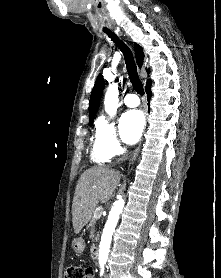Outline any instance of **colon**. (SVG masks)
<instances>
[{"label": "colon", "instance_id": "1", "mask_svg": "<svg viewBox=\"0 0 221 278\" xmlns=\"http://www.w3.org/2000/svg\"><path fill=\"white\" fill-rule=\"evenodd\" d=\"M86 269L80 265H70L65 271V278H85Z\"/></svg>", "mask_w": 221, "mask_h": 278}]
</instances>
